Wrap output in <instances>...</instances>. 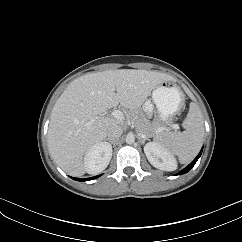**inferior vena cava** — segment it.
I'll return each instance as SVG.
<instances>
[{
	"instance_id": "602c4592",
	"label": "inferior vena cava",
	"mask_w": 242,
	"mask_h": 242,
	"mask_svg": "<svg viewBox=\"0 0 242 242\" xmlns=\"http://www.w3.org/2000/svg\"><path fill=\"white\" fill-rule=\"evenodd\" d=\"M122 133H123V129H122L121 126H119V125H111L108 128L107 136H108V139L114 140V139L119 138L122 135Z\"/></svg>"
}]
</instances>
